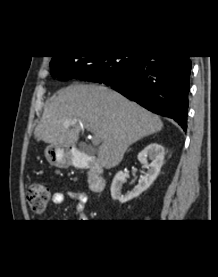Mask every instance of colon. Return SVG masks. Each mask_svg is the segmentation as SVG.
<instances>
[{"label": "colon", "mask_w": 218, "mask_h": 277, "mask_svg": "<svg viewBox=\"0 0 218 277\" xmlns=\"http://www.w3.org/2000/svg\"><path fill=\"white\" fill-rule=\"evenodd\" d=\"M50 191L44 184H32L27 189V201L32 211L42 213L49 201Z\"/></svg>", "instance_id": "1"}]
</instances>
